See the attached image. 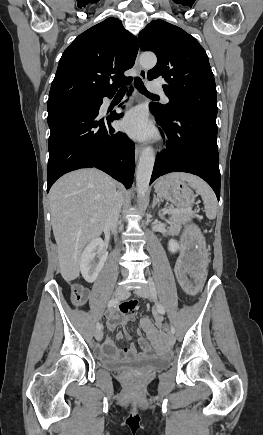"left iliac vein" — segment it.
<instances>
[{
  "instance_id": "4c4485c4",
  "label": "left iliac vein",
  "mask_w": 263,
  "mask_h": 435,
  "mask_svg": "<svg viewBox=\"0 0 263 435\" xmlns=\"http://www.w3.org/2000/svg\"><path fill=\"white\" fill-rule=\"evenodd\" d=\"M135 293L140 297L153 299L152 292H151L150 287L148 285H143L142 287L136 289ZM175 341H176L175 336L172 333H170L169 337H168V343L170 345H174Z\"/></svg>"
}]
</instances>
